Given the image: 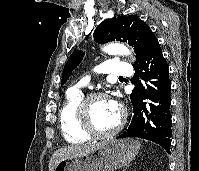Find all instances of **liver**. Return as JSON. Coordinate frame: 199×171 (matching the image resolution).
<instances>
[{
  "label": "liver",
  "instance_id": "obj_1",
  "mask_svg": "<svg viewBox=\"0 0 199 171\" xmlns=\"http://www.w3.org/2000/svg\"><path fill=\"white\" fill-rule=\"evenodd\" d=\"M102 143L92 144V145H73L66 148H61L55 151L49 162V171H53L55 166L62 160L70 159L76 156H81L92 152L96 148H98Z\"/></svg>",
  "mask_w": 199,
  "mask_h": 171
}]
</instances>
